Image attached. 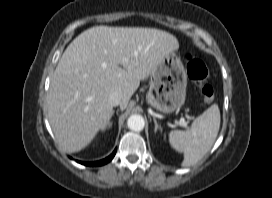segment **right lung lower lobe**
<instances>
[{
    "label": "right lung lower lobe",
    "mask_w": 272,
    "mask_h": 198,
    "mask_svg": "<svg viewBox=\"0 0 272 198\" xmlns=\"http://www.w3.org/2000/svg\"><path fill=\"white\" fill-rule=\"evenodd\" d=\"M115 153H116V150H114V152L109 157L97 162H81V161H78V162L86 166H101L110 162L112 158L114 157Z\"/></svg>",
    "instance_id": "obj_1"
}]
</instances>
